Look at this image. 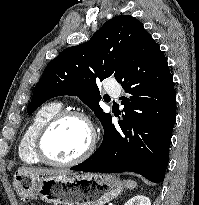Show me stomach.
<instances>
[{"label": "stomach", "instance_id": "stomach-1", "mask_svg": "<svg viewBox=\"0 0 199 205\" xmlns=\"http://www.w3.org/2000/svg\"><path fill=\"white\" fill-rule=\"evenodd\" d=\"M14 187L19 195L53 205H104L122 191V183L111 174L30 175L16 172Z\"/></svg>", "mask_w": 199, "mask_h": 205}]
</instances>
